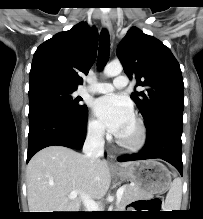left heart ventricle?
Here are the masks:
<instances>
[{"mask_svg":"<svg viewBox=\"0 0 203 219\" xmlns=\"http://www.w3.org/2000/svg\"><path fill=\"white\" fill-rule=\"evenodd\" d=\"M138 129L137 126L132 119L117 135L120 139L124 141H133L137 138Z\"/></svg>","mask_w":203,"mask_h":219,"instance_id":"1","label":"left heart ventricle"}]
</instances>
